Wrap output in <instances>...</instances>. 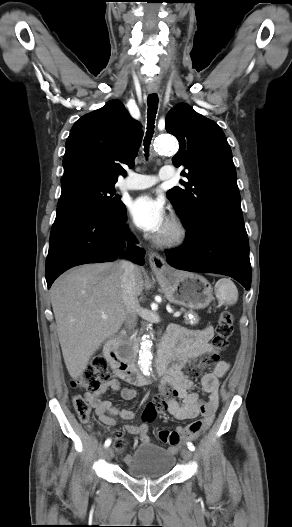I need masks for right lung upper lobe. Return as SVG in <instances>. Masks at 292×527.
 Segmentation results:
<instances>
[{
	"mask_svg": "<svg viewBox=\"0 0 292 527\" xmlns=\"http://www.w3.org/2000/svg\"><path fill=\"white\" fill-rule=\"evenodd\" d=\"M142 136L141 124L119 100L82 116L66 141L61 182L85 177L115 184L126 175L122 164L134 167Z\"/></svg>",
	"mask_w": 292,
	"mask_h": 527,
	"instance_id": "1",
	"label": "right lung upper lobe"
}]
</instances>
